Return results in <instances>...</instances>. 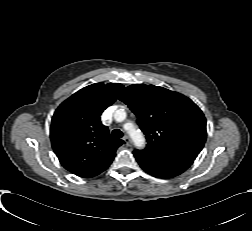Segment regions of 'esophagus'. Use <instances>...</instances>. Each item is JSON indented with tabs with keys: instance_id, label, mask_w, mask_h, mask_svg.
<instances>
[{
	"instance_id": "obj_1",
	"label": "esophagus",
	"mask_w": 252,
	"mask_h": 231,
	"mask_svg": "<svg viewBox=\"0 0 252 231\" xmlns=\"http://www.w3.org/2000/svg\"><path fill=\"white\" fill-rule=\"evenodd\" d=\"M123 140L125 141V143H126L127 146L131 145V140H130V138L127 135H125L123 137Z\"/></svg>"
}]
</instances>
